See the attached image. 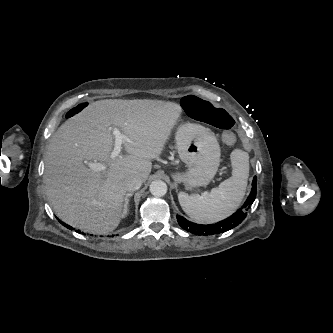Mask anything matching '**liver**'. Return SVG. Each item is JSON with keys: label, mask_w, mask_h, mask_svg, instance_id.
I'll return each instance as SVG.
<instances>
[{"label": "liver", "mask_w": 333, "mask_h": 333, "mask_svg": "<svg viewBox=\"0 0 333 333\" xmlns=\"http://www.w3.org/2000/svg\"><path fill=\"white\" fill-rule=\"evenodd\" d=\"M182 113L180 105L159 100L106 99L90 103L53 135L45 158V185L50 204L65 223L94 234L115 230L123 216L128 177L145 182L152 160L161 155ZM130 142L126 155L111 159L112 128ZM103 162L105 172L86 162Z\"/></svg>", "instance_id": "1"}]
</instances>
